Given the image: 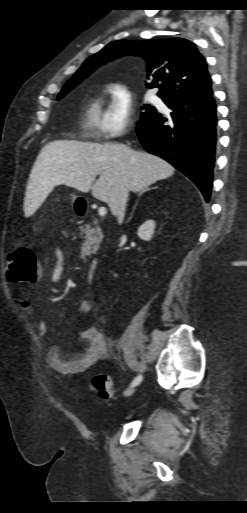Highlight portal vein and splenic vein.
I'll use <instances>...</instances> for the list:
<instances>
[{"label": "portal vein and splenic vein", "mask_w": 247, "mask_h": 513, "mask_svg": "<svg viewBox=\"0 0 247 513\" xmlns=\"http://www.w3.org/2000/svg\"><path fill=\"white\" fill-rule=\"evenodd\" d=\"M106 213H107V210H106V208H105V207H100V208H99V210H98V214H99L100 216H105V215H106Z\"/></svg>", "instance_id": "portal-vein-and-splenic-vein-1"}]
</instances>
